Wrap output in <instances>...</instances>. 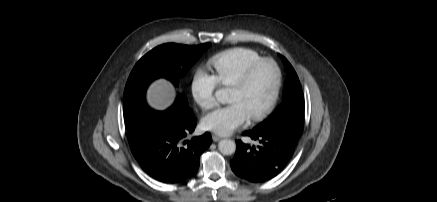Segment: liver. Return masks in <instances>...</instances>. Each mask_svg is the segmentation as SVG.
<instances>
[{
  "label": "liver",
  "instance_id": "liver-1",
  "mask_svg": "<svg viewBox=\"0 0 437 202\" xmlns=\"http://www.w3.org/2000/svg\"><path fill=\"white\" fill-rule=\"evenodd\" d=\"M174 89L166 80H158L149 87L147 101L149 105L158 110L166 109L173 101Z\"/></svg>",
  "mask_w": 437,
  "mask_h": 202
}]
</instances>
